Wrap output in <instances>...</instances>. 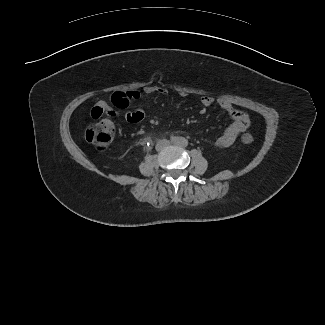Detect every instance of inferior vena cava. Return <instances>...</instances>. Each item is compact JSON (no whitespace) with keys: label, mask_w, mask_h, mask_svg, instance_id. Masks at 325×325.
Here are the masks:
<instances>
[{"label":"inferior vena cava","mask_w":325,"mask_h":325,"mask_svg":"<svg viewBox=\"0 0 325 325\" xmlns=\"http://www.w3.org/2000/svg\"><path fill=\"white\" fill-rule=\"evenodd\" d=\"M169 141L168 140H160L158 143H157V145H156V150L157 151H160V150H162L163 148H165L166 146H168L169 145Z\"/></svg>","instance_id":"obj_1"}]
</instances>
